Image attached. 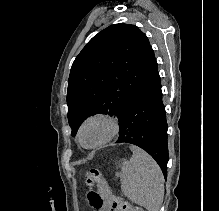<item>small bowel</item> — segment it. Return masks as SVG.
I'll return each mask as SVG.
<instances>
[{"instance_id": "c3829d8e", "label": "small bowel", "mask_w": 219, "mask_h": 211, "mask_svg": "<svg viewBox=\"0 0 219 211\" xmlns=\"http://www.w3.org/2000/svg\"><path fill=\"white\" fill-rule=\"evenodd\" d=\"M88 199L93 211H112L109 204L101 200L98 194L90 192Z\"/></svg>"}]
</instances>
